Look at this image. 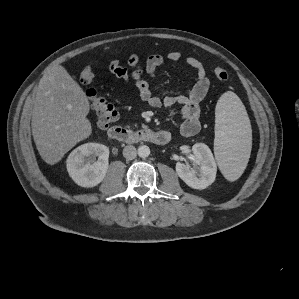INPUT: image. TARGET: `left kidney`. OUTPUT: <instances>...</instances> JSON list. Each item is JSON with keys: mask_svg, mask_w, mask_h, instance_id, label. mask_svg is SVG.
I'll return each mask as SVG.
<instances>
[{"mask_svg": "<svg viewBox=\"0 0 299 299\" xmlns=\"http://www.w3.org/2000/svg\"><path fill=\"white\" fill-rule=\"evenodd\" d=\"M196 163H176L178 176L193 189H205L211 185L217 172L216 162L210 148L204 143H196L192 147Z\"/></svg>", "mask_w": 299, "mask_h": 299, "instance_id": "obj_1", "label": "left kidney"}]
</instances>
